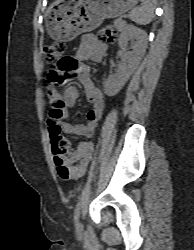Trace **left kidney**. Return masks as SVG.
Listing matches in <instances>:
<instances>
[{
	"label": "left kidney",
	"instance_id": "1",
	"mask_svg": "<svg viewBox=\"0 0 194 250\" xmlns=\"http://www.w3.org/2000/svg\"><path fill=\"white\" fill-rule=\"evenodd\" d=\"M133 40L135 45L133 51L119 53L122 63L118 67L116 74L109 78L105 84L107 91H118L128 81L130 76L137 69L147 48V34L133 25H127L120 34L118 44L121 50H124L128 41Z\"/></svg>",
	"mask_w": 194,
	"mask_h": 250
}]
</instances>
